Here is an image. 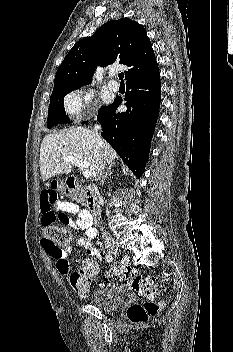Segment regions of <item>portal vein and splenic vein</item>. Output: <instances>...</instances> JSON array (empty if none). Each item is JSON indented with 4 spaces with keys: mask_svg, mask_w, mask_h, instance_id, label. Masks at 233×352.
<instances>
[{
    "mask_svg": "<svg viewBox=\"0 0 233 352\" xmlns=\"http://www.w3.org/2000/svg\"><path fill=\"white\" fill-rule=\"evenodd\" d=\"M64 161L66 162H70L72 163L73 165L81 168V170L83 171V176L85 178H90L91 177V173L90 171L88 170V163L84 160H80V159H77L73 156H65L62 158Z\"/></svg>",
    "mask_w": 233,
    "mask_h": 352,
    "instance_id": "18ae733b",
    "label": "portal vein and splenic vein"
}]
</instances>
